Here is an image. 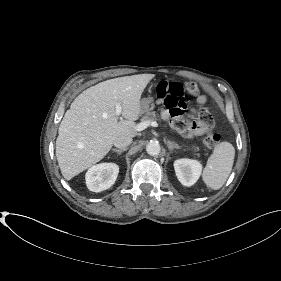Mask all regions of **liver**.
<instances>
[{"instance_id":"liver-1","label":"liver","mask_w":281,"mask_h":281,"mask_svg":"<svg viewBox=\"0 0 281 281\" xmlns=\"http://www.w3.org/2000/svg\"><path fill=\"white\" fill-rule=\"evenodd\" d=\"M152 76L139 74L110 79L80 93L66 111L56 140L63 177L71 180L106 156L120 136L135 137L140 99ZM122 107L118 120L116 105Z\"/></svg>"}]
</instances>
